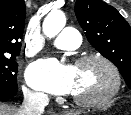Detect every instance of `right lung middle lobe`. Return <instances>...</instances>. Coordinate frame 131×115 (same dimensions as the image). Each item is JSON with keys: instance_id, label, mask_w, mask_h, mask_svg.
Returning <instances> with one entry per match:
<instances>
[{"instance_id": "dd1d6c3e", "label": "right lung middle lobe", "mask_w": 131, "mask_h": 115, "mask_svg": "<svg viewBox=\"0 0 131 115\" xmlns=\"http://www.w3.org/2000/svg\"><path fill=\"white\" fill-rule=\"evenodd\" d=\"M18 54L19 52L0 53V95L14 96L17 94L18 64L15 56Z\"/></svg>"}]
</instances>
